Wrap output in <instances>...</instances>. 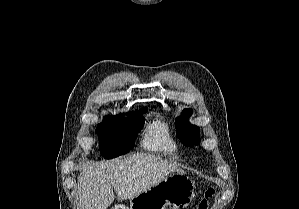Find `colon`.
<instances>
[{
  "instance_id": "1",
  "label": "colon",
  "mask_w": 299,
  "mask_h": 209,
  "mask_svg": "<svg viewBox=\"0 0 299 209\" xmlns=\"http://www.w3.org/2000/svg\"><path fill=\"white\" fill-rule=\"evenodd\" d=\"M215 190L213 187H204L200 192V198L197 203L198 209H206L208 200L214 195Z\"/></svg>"
}]
</instances>
